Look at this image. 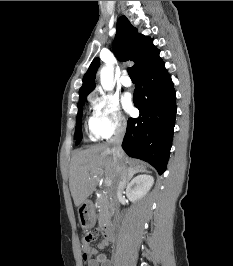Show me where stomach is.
<instances>
[{
    "mask_svg": "<svg viewBox=\"0 0 233 266\" xmlns=\"http://www.w3.org/2000/svg\"><path fill=\"white\" fill-rule=\"evenodd\" d=\"M81 209H77V214H82V228H89L95 223V213L92 204H81Z\"/></svg>",
    "mask_w": 233,
    "mask_h": 266,
    "instance_id": "0dacf381",
    "label": "stomach"
}]
</instances>
